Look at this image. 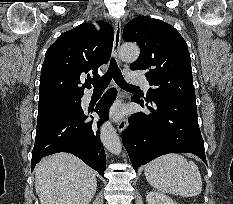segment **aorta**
Masks as SVG:
<instances>
[{
	"label": "aorta",
	"mask_w": 233,
	"mask_h": 204,
	"mask_svg": "<svg viewBox=\"0 0 233 204\" xmlns=\"http://www.w3.org/2000/svg\"><path fill=\"white\" fill-rule=\"evenodd\" d=\"M140 53L139 47L136 44H124L120 48V56L123 60L134 61L138 58ZM101 141L106 149L115 154L119 155L122 151V144L117 135L116 130L110 122H106L101 127Z\"/></svg>",
	"instance_id": "762f6f07"
}]
</instances>
